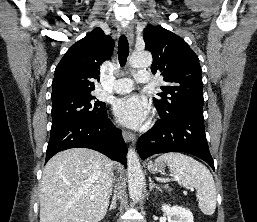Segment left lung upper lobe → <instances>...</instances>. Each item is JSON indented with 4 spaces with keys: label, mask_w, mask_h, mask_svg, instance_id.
I'll return each mask as SVG.
<instances>
[{
    "label": "left lung upper lobe",
    "mask_w": 257,
    "mask_h": 222,
    "mask_svg": "<svg viewBox=\"0 0 257 222\" xmlns=\"http://www.w3.org/2000/svg\"><path fill=\"white\" fill-rule=\"evenodd\" d=\"M145 49L153 55L151 71L159 72L167 83L163 93L153 98L156 109L165 117L203 116L201 67L198 56L178 35L150 25L144 30Z\"/></svg>",
    "instance_id": "5c2ea615"
}]
</instances>
